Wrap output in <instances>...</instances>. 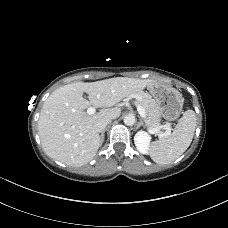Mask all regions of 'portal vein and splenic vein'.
Returning a JSON list of instances; mask_svg holds the SVG:
<instances>
[{
    "instance_id": "1",
    "label": "portal vein and splenic vein",
    "mask_w": 228,
    "mask_h": 228,
    "mask_svg": "<svg viewBox=\"0 0 228 228\" xmlns=\"http://www.w3.org/2000/svg\"><path fill=\"white\" fill-rule=\"evenodd\" d=\"M137 107V111H138V113L140 114V116L142 117V118H145V110H144V108L141 106V105H137L136 106ZM95 112H96V110L93 108V107H90V108H88L87 109V113L89 114V115H93V114H95ZM166 129V131H167V133L166 134H169L170 133V127H169V125L168 124H166V125H162V126H160L158 129H152L151 130V133L152 134H154V133H157L160 129ZM166 134H160V136H164V135H166Z\"/></svg>"
}]
</instances>
